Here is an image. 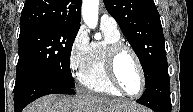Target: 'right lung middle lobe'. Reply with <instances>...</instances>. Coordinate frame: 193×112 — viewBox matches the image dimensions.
<instances>
[{
    "label": "right lung middle lobe",
    "mask_w": 193,
    "mask_h": 112,
    "mask_svg": "<svg viewBox=\"0 0 193 112\" xmlns=\"http://www.w3.org/2000/svg\"><path fill=\"white\" fill-rule=\"evenodd\" d=\"M80 27L35 25L20 30L16 82L46 77L74 89L70 54Z\"/></svg>",
    "instance_id": "dd1d6c3e"
}]
</instances>
